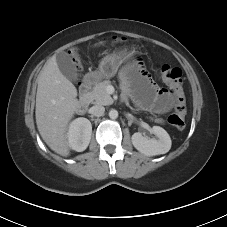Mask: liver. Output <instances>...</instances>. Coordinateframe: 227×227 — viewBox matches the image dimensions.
Instances as JSON below:
<instances>
[{
	"mask_svg": "<svg viewBox=\"0 0 227 227\" xmlns=\"http://www.w3.org/2000/svg\"><path fill=\"white\" fill-rule=\"evenodd\" d=\"M76 97V87L60 71L56 56H52L38 77L35 116L42 139L64 157L70 155L66 130L79 107Z\"/></svg>",
	"mask_w": 227,
	"mask_h": 227,
	"instance_id": "6515ba94",
	"label": "liver"
}]
</instances>
